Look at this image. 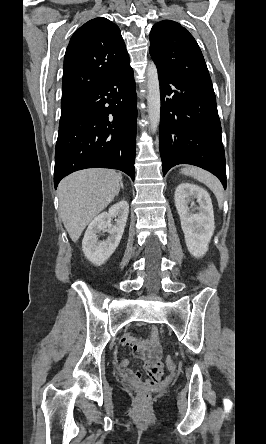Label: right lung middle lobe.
I'll return each mask as SVG.
<instances>
[{"label": "right lung middle lobe", "mask_w": 266, "mask_h": 444, "mask_svg": "<svg viewBox=\"0 0 266 444\" xmlns=\"http://www.w3.org/2000/svg\"><path fill=\"white\" fill-rule=\"evenodd\" d=\"M72 103H73V102H69V101H67V102L61 101V110L66 109V108L69 107Z\"/></svg>", "instance_id": "dd1d6c3e"}]
</instances>
